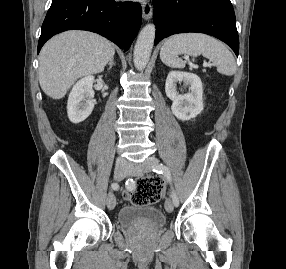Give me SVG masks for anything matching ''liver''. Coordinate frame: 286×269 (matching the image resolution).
<instances>
[{"mask_svg":"<svg viewBox=\"0 0 286 269\" xmlns=\"http://www.w3.org/2000/svg\"><path fill=\"white\" fill-rule=\"evenodd\" d=\"M115 49L104 37L87 31H66L51 38L39 55V83L46 95L61 99L77 79L100 73Z\"/></svg>","mask_w":286,"mask_h":269,"instance_id":"liver-1","label":"liver"}]
</instances>
